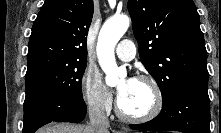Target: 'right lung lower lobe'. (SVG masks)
<instances>
[{
    "mask_svg": "<svg viewBox=\"0 0 221 133\" xmlns=\"http://www.w3.org/2000/svg\"><path fill=\"white\" fill-rule=\"evenodd\" d=\"M86 112L83 98H70L29 85L24 101L23 133H34L52 121L79 123Z\"/></svg>",
    "mask_w": 221,
    "mask_h": 133,
    "instance_id": "98d812e1",
    "label": "right lung lower lobe"
}]
</instances>
